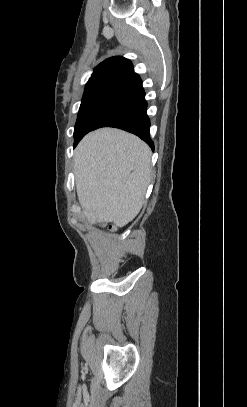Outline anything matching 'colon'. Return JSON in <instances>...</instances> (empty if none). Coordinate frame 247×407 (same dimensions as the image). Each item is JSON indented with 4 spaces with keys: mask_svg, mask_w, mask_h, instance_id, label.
<instances>
[{
    "mask_svg": "<svg viewBox=\"0 0 247 407\" xmlns=\"http://www.w3.org/2000/svg\"><path fill=\"white\" fill-rule=\"evenodd\" d=\"M110 229L114 230V229H115V227H114V226H110Z\"/></svg>",
    "mask_w": 247,
    "mask_h": 407,
    "instance_id": "5ec220e1",
    "label": "colon"
}]
</instances>
